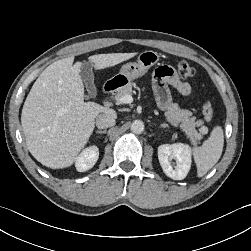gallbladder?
I'll use <instances>...</instances> for the list:
<instances>
[{
    "label": "gallbladder",
    "mask_w": 251,
    "mask_h": 251,
    "mask_svg": "<svg viewBox=\"0 0 251 251\" xmlns=\"http://www.w3.org/2000/svg\"><path fill=\"white\" fill-rule=\"evenodd\" d=\"M93 64L91 62H84L80 67V75L86 85L90 97H95L97 90L94 84Z\"/></svg>",
    "instance_id": "1"
}]
</instances>
